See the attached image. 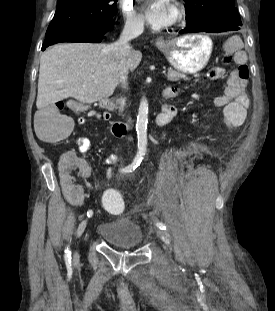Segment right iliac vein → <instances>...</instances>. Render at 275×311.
<instances>
[{
  "instance_id": "right-iliac-vein-1",
  "label": "right iliac vein",
  "mask_w": 275,
  "mask_h": 311,
  "mask_svg": "<svg viewBox=\"0 0 275 311\" xmlns=\"http://www.w3.org/2000/svg\"><path fill=\"white\" fill-rule=\"evenodd\" d=\"M86 225H87V219L83 220L79 224V226L77 228V237H80L83 234V232H84V230L86 228ZM77 257H78V253L76 252L75 255H74V258H77Z\"/></svg>"
}]
</instances>
